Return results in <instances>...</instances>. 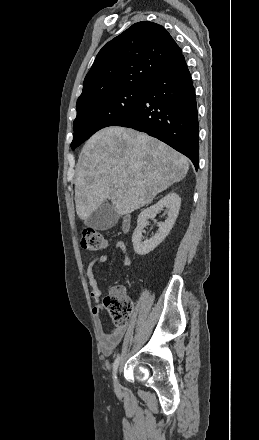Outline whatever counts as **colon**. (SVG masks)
Returning <instances> with one entry per match:
<instances>
[{
	"instance_id": "colon-1",
	"label": "colon",
	"mask_w": 259,
	"mask_h": 440,
	"mask_svg": "<svg viewBox=\"0 0 259 440\" xmlns=\"http://www.w3.org/2000/svg\"><path fill=\"white\" fill-rule=\"evenodd\" d=\"M106 239L98 230L86 227L82 231L81 246L88 251H98L106 247ZM103 306L108 311L117 328H123L133 311V303L119 287H113L103 300Z\"/></svg>"
}]
</instances>
